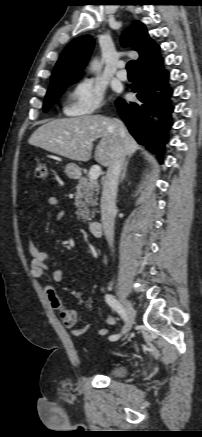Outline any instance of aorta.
<instances>
[{
    "label": "aorta",
    "instance_id": "1",
    "mask_svg": "<svg viewBox=\"0 0 202 437\" xmlns=\"http://www.w3.org/2000/svg\"><path fill=\"white\" fill-rule=\"evenodd\" d=\"M101 68V64L99 63V61L98 60H93L92 62H91V67H90V69L92 70V71H95V70H99Z\"/></svg>",
    "mask_w": 202,
    "mask_h": 437
}]
</instances>
